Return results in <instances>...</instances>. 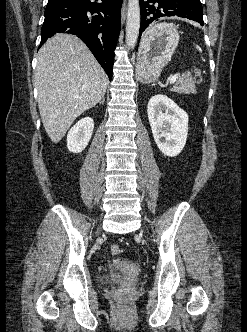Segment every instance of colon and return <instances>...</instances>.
Instances as JSON below:
<instances>
[{
    "label": "colon",
    "mask_w": 247,
    "mask_h": 332,
    "mask_svg": "<svg viewBox=\"0 0 247 332\" xmlns=\"http://www.w3.org/2000/svg\"><path fill=\"white\" fill-rule=\"evenodd\" d=\"M196 78H197L198 81L200 80V74H199L198 71H197ZM110 251H111L112 255H114V256H118V255L121 254L122 249H121V247H120L118 244H113V245L111 246V248H110Z\"/></svg>",
    "instance_id": "obj_1"
}]
</instances>
